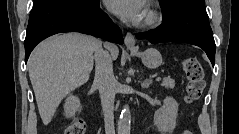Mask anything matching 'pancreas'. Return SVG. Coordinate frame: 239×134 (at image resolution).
Listing matches in <instances>:
<instances>
[{
	"instance_id": "cf45deb5",
	"label": "pancreas",
	"mask_w": 239,
	"mask_h": 134,
	"mask_svg": "<svg viewBox=\"0 0 239 134\" xmlns=\"http://www.w3.org/2000/svg\"><path fill=\"white\" fill-rule=\"evenodd\" d=\"M161 86H163L166 89H173L175 87V81L170 78H164Z\"/></svg>"
}]
</instances>
